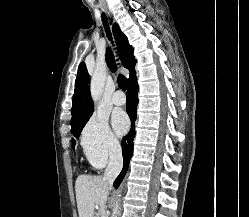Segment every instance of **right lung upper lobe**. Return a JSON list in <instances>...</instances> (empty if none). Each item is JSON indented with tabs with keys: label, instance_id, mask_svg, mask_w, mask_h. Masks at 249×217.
Returning a JSON list of instances; mask_svg holds the SVG:
<instances>
[{
	"label": "right lung upper lobe",
	"instance_id": "obj_1",
	"mask_svg": "<svg viewBox=\"0 0 249 217\" xmlns=\"http://www.w3.org/2000/svg\"><path fill=\"white\" fill-rule=\"evenodd\" d=\"M113 33L121 54L122 64L130 71L129 80L136 74V60L133 56V47L129 45L127 37L121 32L119 26L113 25ZM106 62L111 71L116 70L114 57L110 48L106 50ZM90 77L84 62L78 67L75 82V91L72 103L71 125L79 122L93 111V101L90 96Z\"/></svg>",
	"mask_w": 249,
	"mask_h": 217
}]
</instances>
